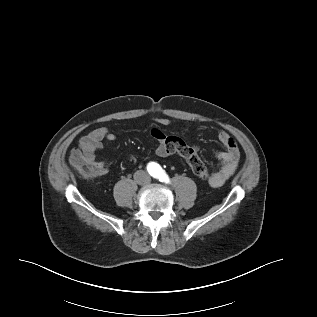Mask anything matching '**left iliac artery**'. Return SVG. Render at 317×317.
<instances>
[{
    "mask_svg": "<svg viewBox=\"0 0 317 317\" xmlns=\"http://www.w3.org/2000/svg\"><path fill=\"white\" fill-rule=\"evenodd\" d=\"M158 178H159V181L164 182L166 184H170V179L164 171L160 173Z\"/></svg>",
    "mask_w": 317,
    "mask_h": 317,
    "instance_id": "44dca946",
    "label": "left iliac artery"
}]
</instances>
